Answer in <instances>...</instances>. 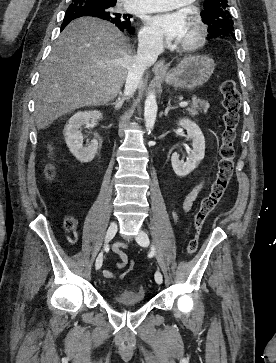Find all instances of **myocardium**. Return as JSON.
<instances>
[{"label":"myocardium","mask_w":276,"mask_h":363,"mask_svg":"<svg viewBox=\"0 0 276 363\" xmlns=\"http://www.w3.org/2000/svg\"><path fill=\"white\" fill-rule=\"evenodd\" d=\"M191 22L195 27V37L185 43L178 44V48L183 52H193L201 48L207 37V28L201 17L196 13H191Z\"/></svg>","instance_id":"obj_1"}]
</instances>
